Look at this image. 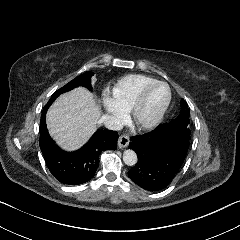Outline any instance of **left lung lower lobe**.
I'll use <instances>...</instances> for the list:
<instances>
[{"label":"left lung lower lobe","mask_w":240,"mask_h":240,"mask_svg":"<svg viewBox=\"0 0 240 240\" xmlns=\"http://www.w3.org/2000/svg\"><path fill=\"white\" fill-rule=\"evenodd\" d=\"M190 138L189 126L173 120L151 132L131 137L129 148L138 157L137 164L128 171L131 180L147 191L167 187L184 162Z\"/></svg>","instance_id":"0a47b994"}]
</instances>
